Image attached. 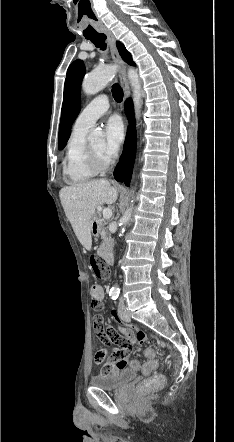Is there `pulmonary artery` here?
<instances>
[{"instance_id":"pulmonary-artery-1","label":"pulmonary artery","mask_w":234,"mask_h":442,"mask_svg":"<svg viewBox=\"0 0 234 442\" xmlns=\"http://www.w3.org/2000/svg\"><path fill=\"white\" fill-rule=\"evenodd\" d=\"M109 99L99 95L89 102L75 120L74 127L89 130L96 120L109 109Z\"/></svg>"}]
</instances>
